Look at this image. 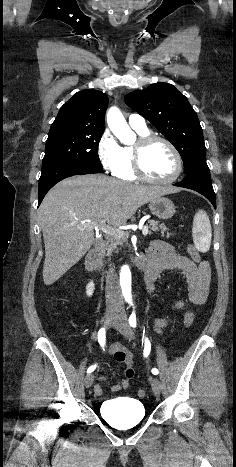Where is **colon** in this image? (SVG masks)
<instances>
[{
  "mask_svg": "<svg viewBox=\"0 0 236 467\" xmlns=\"http://www.w3.org/2000/svg\"><path fill=\"white\" fill-rule=\"evenodd\" d=\"M187 251H188V254L190 255V257L193 259V261H195V262L201 261L200 254H199L198 250L195 248V246H193L192 244H188L187 245ZM192 323H193V315L191 313H187L186 316H185V319H184V324H185L186 327H190L192 325ZM114 357H115L116 360H123L125 358L124 354L121 353V352L116 353V355ZM138 395L139 396H144L145 391L140 390L138 392Z\"/></svg>",
  "mask_w": 236,
  "mask_h": 467,
  "instance_id": "5ec220e1",
  "label": "colon"
}]
</instances>
